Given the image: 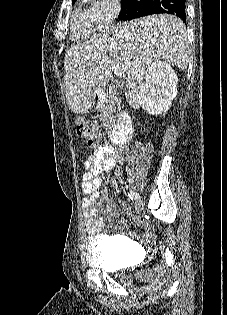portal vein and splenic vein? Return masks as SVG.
<instances>
[{"mask_svg":"<svg viewBox=\"0 0 227 315\" xmlns=\"http://www.w3.org/2000/svg\"><path fill=\"white\" fill-rule=\"evenodd\" d=\"M110 64V69L118 77H125L127 68H121L118 65H115L113 62H108Z\"/></svg>","mask_w":227,"mask_h":315,"instance_id":"18ae733b","label":"portal vein and splenic vein"}]
</instances>
